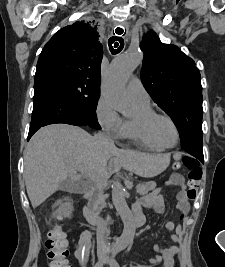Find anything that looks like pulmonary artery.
<instances>
[{"instance_id":"e3ab8cb5","label":"pulmonary artery","mask_w":225,"mask_h":267,"mask_svg":"<svg viewBox=\"0 0 225 267\" xmlns=\"http://www.w3.org/2000/svg\"><path fill=\"white\" fill-rule=\"evenodd\" d=\"M127 92L131 100L148 101L150 99L148 92L138 77L130 79Z\"/></svg>"}]
</instances>
